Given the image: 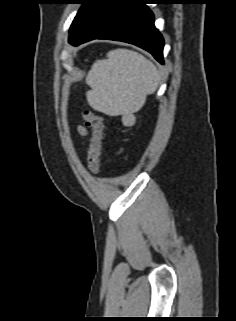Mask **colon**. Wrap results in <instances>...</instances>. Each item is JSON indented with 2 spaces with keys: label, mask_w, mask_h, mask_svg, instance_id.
<instances>
[{
  "label": "colon",
  "mask_w": 236,
  "mask_h": 321,
  "mask_svg": "<svg viewBox=\"0 0 236 321\" xmlns=\"http://www.w3.org/2000/svg\"><path fill=\"white\" fill-rule=\"evenodd\" d=\"M82 116L86 124L92 128V140L87 158V166L92 173H97L99 170L100 155L103 143V118L91 111H84Z\"/></svg>",
  "instance_id": "1"
}]
</instances>
